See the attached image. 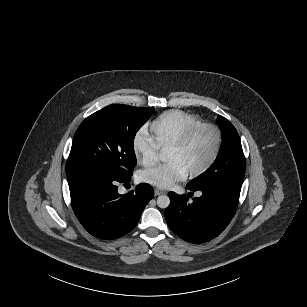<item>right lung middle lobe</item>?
Listing matches in <instances>:
<instances>
[{
  "label": "right lung middle lobe",
  "instance_id": "obj_1",
  "mask_svg": "<svg viewBox=\"0 0 307 307\" xmlns=\"http://www.w3.org/2000/svg\"><path fill=\"white\" fill-rule=\"evenodd\" d=\"M154 108L109 105L78 127L66 165L67 178L86 173L130 177L136 166L134 138Z\"/></svg>",
  "mask_w": 307,
  "mask_h": 307
}]
</instances>
